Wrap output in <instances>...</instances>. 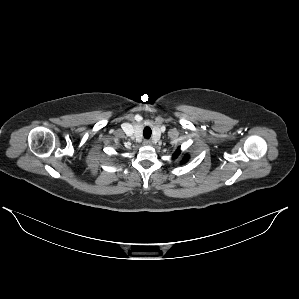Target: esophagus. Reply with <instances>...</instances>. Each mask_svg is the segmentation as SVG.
<instances>
[{"label":"esophagus","instance_id":"1","mask_svg":"<svg viewBox=\"0 0 299 299\" xmlns=\"http://www.w3.org/2000/svg\"><path fill=\"white\" fill-rule=\"evenodd\" d=\"M143 143L144 145H151V141L149 139H145Z\"/></svg>","mask_w":299,"mask_h":299}]
</instances>
